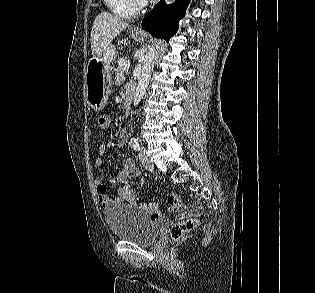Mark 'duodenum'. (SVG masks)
I'll return each instance as SVG.
<instances>
[{
  "label": "duodenum",
  "mask_w": 315,
  "mask_h": 293,
  "mask_svg": "<svg viewBox=\"0 0 315 293\" xmlns=\"http://www.w3.org/2000/svg\"><path fill=\"white\" fill-rule=\"evenodd\" d=\"M134 93L133 91H129L126 93L125 99H124V108L129 109L132 102H133Z\"/></svg>",
  "instance_id": "410a0bca"
}]
</instances>
